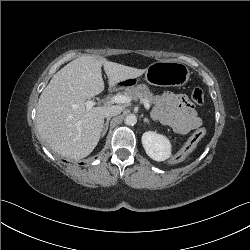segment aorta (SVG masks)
Instances as JSON below:
<instances>
[{
  "instance_id": "1",
  "label": "aorta",
  "mask_w": 250,
  "mask_h": 250,
  "mask_svg": "<svg viewBox=\"0 0 250 250\" xmlns=\"http://www.w3.org/2000/svg\"><path fill=\"white\" fill-rule=\"evenodd\" d=\"M124 122L126 125L133 126L137 123V117L134 114H130V115L126 116Z\"/></svg>"
}]
</instances>
